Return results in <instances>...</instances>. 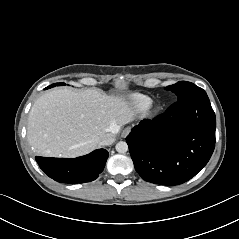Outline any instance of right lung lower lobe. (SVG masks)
Instances as JSON below:
<instances>
[{
  "label": "right lung lower lobe",
  "mask_w": 239,
  "mask_h": 239,
  "mask_svg": "<svg viewBox=\"0 0 239 239\" xmlns=\"http://www.w3.org/2000/svg\"><path fill=\"white\" fill-rule=\"evenodd\" d=\"M105 149L74 159L36 157L47 176L62 183H85L95 180L103 171L108 158Z\"/></svg>",
  "instance_id": "right-lung-lower-lobe-1"
}]
</instances>
